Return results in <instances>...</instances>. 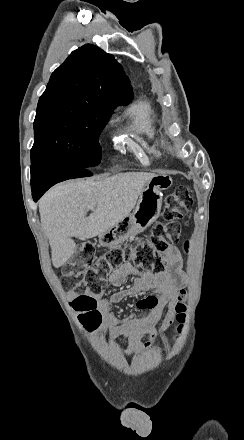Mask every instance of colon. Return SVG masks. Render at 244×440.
I'll list each match as a JSON object with an SVG mask.
<instances>
[{"mask_svg":"<svg viewBox=\"0 0 244 440\" xmlns=\"http://www.w3.org/2000/svg\"><path fill=\"white\" fill-rule=\"evenodd\" d=\"M192 206V198L187 188L180 187L165 200L163 217L165 222L159 223L153 230L150 240L139 243L133 248L113 250L103 256L98 272L93 271L95 247L91 241L83 242L82 249L75 253V259L81 262H64V275H60V284H65L68 294H77L73 299V312L81 313L82 319H100L98 299L92 294H99L103 286L104 274L112 267L124 262H132L143 266L148 272L163 270L164 255L168 247L178 241L180 235V220L188 215ZM185 254L191 252L190 242L183 246ZM98 265V264H97ZM83 271H88L85 277ZM90 293V294H89ZM176 319L180 323L177 328L181 333L187 318L188 306L180 298L175 305ZM178 338V337H177Z\"/></svg>","mask_w":244,"mask_h":440,"instance_id":"colon-1","label":"colon"}]
</instances>
